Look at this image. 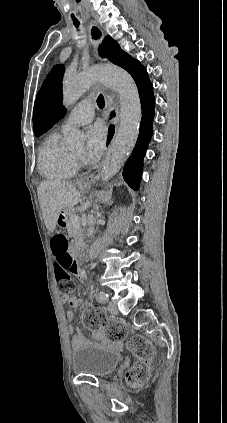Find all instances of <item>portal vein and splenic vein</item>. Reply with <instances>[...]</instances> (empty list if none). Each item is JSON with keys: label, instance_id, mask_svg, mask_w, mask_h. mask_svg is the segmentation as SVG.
Instances as JSON below:
<instances>
[{"label": "portal vein and splenic vein", "instance_id": "obj_1", "mask_svg": "<svg viewBox=\"0 0 227 423\" xmlns=\"http://www.w3.org/2000/svg\"><path fill=\"white\" fill-rule=\"evenodd\" d=\"M72 221H73V223H75V221H76V223H79V221H80V215H74Z\"/></svg>", "mask_w": 227, "mask_h": 423}]
</instances>
